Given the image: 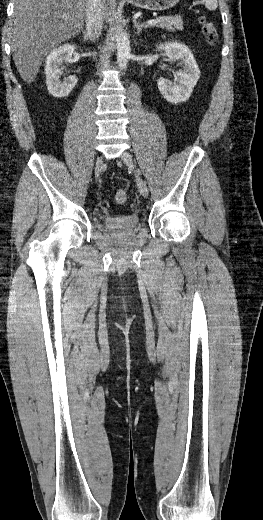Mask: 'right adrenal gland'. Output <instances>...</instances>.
<instances>
[{"label": "right adrenal gland", "mask_w": 263, "mask_h": 520, "mask_svg": "<svg viewBox=\"0 0 263 520\" xmlns=\"http://www.w3.org/2000/svg\"><path fill=\"white\" fill-rule=\"evenodd\" d=\"M82 33H83L84 40L87 41L88 40V36H87L86 32L82 30Z\"/></svg>", "instance_id": "2a0ac1e0"}]
</instances>
